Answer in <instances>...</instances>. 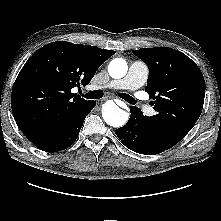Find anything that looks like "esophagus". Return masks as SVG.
Returning a JSON list of instances; mask_svg holds the SVG:
<instances>
[{
	"instance_id": "1",
	"label": "esophagus",
	"mask_w": 221,
	"mask_h": 221,
	"mask_svg": "<svg viewBox=\"0 0 221 221\" xmlns=\"http://www.w3.org/2000/svg\"><path fill=\"white\" fill-rule=\"evenodd\" d=\"M107 99H108V97H103V98L101 99V101H105V100H107ZM117 101H118V104H119V105H122V106L125 105L122 101H120V100H117Z\"/></svg>"
}]
</instances>
